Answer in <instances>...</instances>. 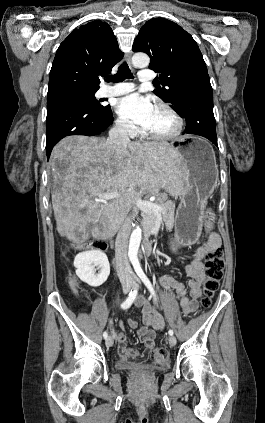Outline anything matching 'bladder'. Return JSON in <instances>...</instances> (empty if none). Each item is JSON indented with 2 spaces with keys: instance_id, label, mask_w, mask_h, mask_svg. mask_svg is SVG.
Segmentation results:
<instances>
[{
  "instance_id": "31cf9c89",
  "label": "bladder",
  "mask_w": 265,
  "mask_h": 423,
  "mask_svg": "<svg viewBox=\"0 0 265 423\" xmlns=\"http://www.w3.org/2000/svg\"><path fill=\"white\" fill-rule=\"evenodd\" d=\"M116 366L122 370H133V369H139L142 367L140 365H134L127 361H123L121 359L116 362Z\"/></svg>"
}]
</instances>
